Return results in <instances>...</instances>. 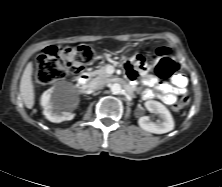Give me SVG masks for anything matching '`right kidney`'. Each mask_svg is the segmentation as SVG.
<instances>
[{"instance_id":"obj_1","label":"right kidney","mask_w":222,"mask_h":187,"mask_svg":"<svg viewBox=\"0 0 222 187\" xmlns=\"http://www.w3.org/2000/svg\"><path fill=\"white\" fill-rule=\"evenodd\" d=\"M41 105L44 108V115L51 122L60 123L74 118L73 113L62 111L65 108V102L58 97L54 88H50L43 93L41 97Z\"/></svg>"}]
</instances>
